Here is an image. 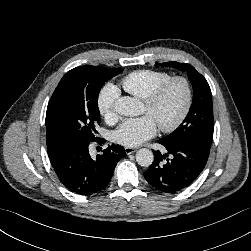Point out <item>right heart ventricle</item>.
<instances>
[{
  "label": "right heart ventricle",
  "instance_id": "1",
  "mask_svg": "<svg viewBox=\"0 0 251 251\" xmlns=\"http://www.w3.org/2000/svg\"><path fill=\"white\" fill-rule=\"evenodd\" d=\"M171 78V74L159 70H137L122 80V87L140 99L147 98L155 89Z\"/></svg>",
  "mask_w": 251,
  "mask_h": 251
}]
</instances>
